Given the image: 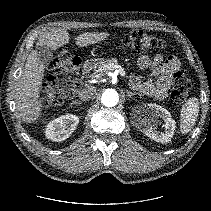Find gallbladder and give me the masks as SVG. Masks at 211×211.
<instances>
[{
	"instance_id": "obj_1",
	"label": "gallbladder",
	"mask_w": 211,
	"mask_h": 211,
	"mask_svg": "<svg viewBox=\"0 0 211 211\" xmlns=\"http://www.w3.org/2000/svg\"><path fill=\"white\" fill-rule=\"evenodd\" d=\"M35 50L41 62L48 64L49 62L52 61L53 54H52L51 49L48 46L46 45L38 46L35 48Z\"/></svg>"
}]
</instances>
